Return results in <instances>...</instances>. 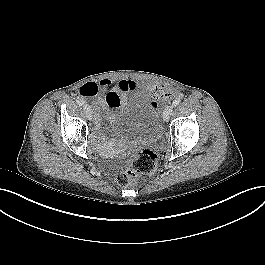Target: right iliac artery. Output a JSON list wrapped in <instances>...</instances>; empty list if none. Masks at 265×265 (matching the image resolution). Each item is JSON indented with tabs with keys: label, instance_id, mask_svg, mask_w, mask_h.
Segmentation results:
<instances>
[{
	"label": "right iliac artery",
	"instance_id": "82829eb1",
	"mask_svg": "<svg viewBox=\"0 0 265 265\" xmlns=\"http://www.w3.org/2000/svg\"><path fill=\"white\" fill-rule=\"evenodd\" d=\"M76 102H77V104H78L79 106H83V105L85 104V101H84L83 99H80V98H78V99L76 100Z\"/></svg>",
	"mask_w": 265,
	"mask_h": 265
}]
</instances>
